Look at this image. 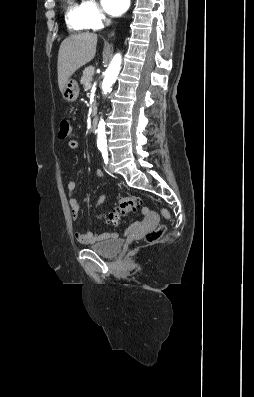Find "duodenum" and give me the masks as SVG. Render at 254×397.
<instances>
[{
  "instance_id": "duodenum-1",
  "label": "duodenum",
  "mask_w": 254,
  "mask_h": 397,
  "mask_svg": "<svg viewBox=\"0 0 254 397\" xmlns=\"http://www.w3.org/2000/svg\"><path fill=\"white\" fill-rule=\"evenodd\" d=\"M97 125H98V116L97 114H94L91 121V129L95 131L97 129Z\"/></svg>"
}]
</instances>
